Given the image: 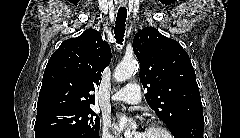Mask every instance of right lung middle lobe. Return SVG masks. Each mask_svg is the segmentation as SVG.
Wrapping results in <instances>:
<instances>
[{"label": "right lung middle lobe", "instance_id": "obj_1", "mask_svg": "<svg viewBox=\"0 0 240 138\" xmlns=\"http://www.w3.org/2000/svg\"><path fill=\"white\" fill-rule=\"evenodd\" d=\"M100 119L91 108H65L38 114L35 132L61 130L79 138H99Z\"/></svg>", "mask_w": 240, "mask_h": 138}]
</instances>
